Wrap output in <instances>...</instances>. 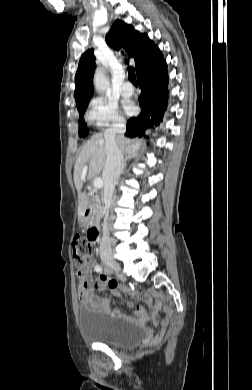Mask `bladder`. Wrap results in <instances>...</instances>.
<instances>
[{
    "label": "bladder",
    "mask_w": 252,
    "mask_h": 390,
    "mask_svg": "<svg viewBox=\"0 0 252 390\" xmlns=\"http://www.w3.org/2000/svg\"><path fill=\"white\" fill-rule=\"evenodd\" d=\"M81 334L84 339L100 342L117 348H132L144 338V329L134 322L91 315L85 311L79 313Z\"/></svg>",
    "instance_id": "obj_1"
}]
</instances>
